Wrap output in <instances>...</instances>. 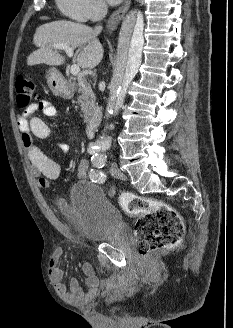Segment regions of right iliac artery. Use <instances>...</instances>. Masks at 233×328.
<instances>
[{
    "label": "right iliac artery",
    "mask_w": 233,
    "mask_h": 328,
    "mask_svg": "<svg viewBox=\"0 0 233 328\" xmlns=\"http://www.w3.org/2000/svg\"><path fill=\"white\" fill-rule=\"evenodd\" d=\"M103 149H104V146H98V145L92 143L89 146L88 152L90 154L94 155L95 153H97ZM113 192H114V190H113Z\"/></svg>",
    "instance_id": "82829eb1"
}]
</instances>
